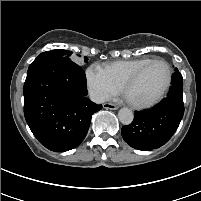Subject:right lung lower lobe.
<instances>
[{
    "mask_svg": "<svg viewBox=\"0 0 201 201\" xmlns=\"http://www.w3.org/2000/svg\"><path fill=\"white\" fill-rule=\"evenodd\" d=\"M23 93L24 115L32 133L55 152L77 147L92 115L102 109L86 98L85 73L72 61L35 60L28 68Z\"/></svg>",
    "mask_w": 201,
    "mask_h": 201,
    "instance_id": "right-lung-lower-lobe-1",
    "label": "right lung lower lobe"
}]
</instances>
